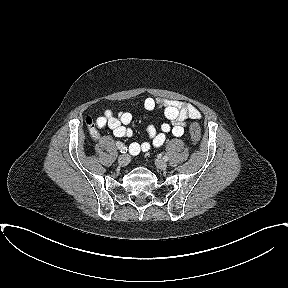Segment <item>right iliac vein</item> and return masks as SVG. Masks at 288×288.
I'll return each mask as SVG.
<instances>
[{"instance_id": "63e3f726", "label": "right iliac vein", "mask_w": 288, "mask_h": 288, "mask_svg": "<svg viewBox=\"0 0 288 288\" xmlns=\"http://www.w3.org/2000/svg\"><path fill=\"white\" fill-rule=\"evenodd\" d=\"M130 162V157L127 154H122L118 157V163L120 166H127Z\"/></svg>"}]
</instances>
